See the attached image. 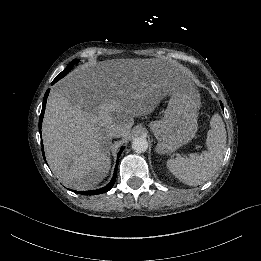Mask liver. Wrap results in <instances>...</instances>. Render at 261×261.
<instances>
[{
	"mask_svg": "<svg viewBox=\"0 0 261 261\" xmlns=\"http://www.w3.org/2000/svg\"><path fill=\"white\" fill-rule=\"evenodd\" d=\"M190 84L180 69L128 64L83 66L56 85L47 101L42 135L48 163L57 178L76 190L94 188L110 170L114 125L127 138L134 117L149 115L175 91Z\"/></svg>",
	"mask_w": 261,
	"mask_h": 261,
	"instance_id": "liver-1",
	"label": "liver"
}]
</instances>
